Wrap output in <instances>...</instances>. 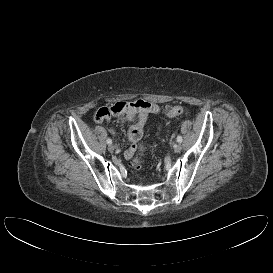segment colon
Returning a JSON list of instances; mask_svg holds the SVG:
<instances>
[{"instance_id":"5ec220e1","label":"colon","mask_w":273,"mask_h":273,"mask_svg":"<svg viewBox=\"0 0 273 273\" xmlns=\"http://www.w3.org/2000/svg\"><path fill=\"white\" fill-rule=\"evenodd\" d=\"M186 113V110L184 107L175 105V106H169L165 110V114L167 117H177L182 114ZM132 165L134 168H139L140 167V161L138 159L133 160Z\"/></svg>"}]
</instances>
